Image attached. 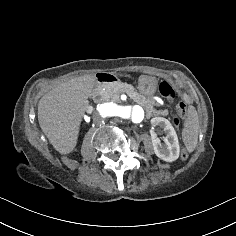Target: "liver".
<instances>
[{
    "label": "liver",
    "mask_w": 236,
    "mask_h": 236,
    "mask_svg": "<svg viewBox=\"0 0 236 236\" xmlns=\"http://www.w3.org/2000/svg\"><path fill=\"white\" fill-rule=\"evenodd\" d=\"M96 81L95 75L80 76L62 83L39 100L40 128L60 154H69L76 147L82 116L92 110L88 98Z\"/></svg>",
    "instance_id": "6515ba94"
}]
</instances>
